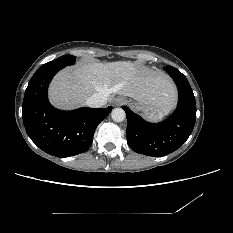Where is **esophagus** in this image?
<instances>
[{
    "instance_id": "34e87169",
    "label": "esophagus",
    "mask_w": 233,
    "mask_h": 233,
    "mask_svg": "<svg viewBox=\"0 0 233 233\" xmlns=\"http://www.w3.org/2000/svg\"><path fill=\"white\" fill-rule=\"evenodd\" d=\"M125 102H126L125 99L118 97L114 100V106L123 105Z\"/></svg>"
}]
</instances>
